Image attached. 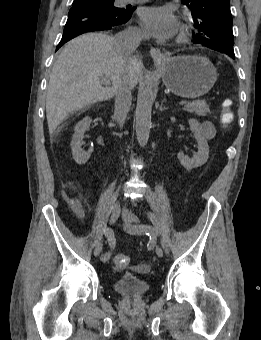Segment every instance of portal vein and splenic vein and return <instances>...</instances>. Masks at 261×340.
<instances>
[{
  "instance_id": "1",
  "label": "portal vein and splenic vein",
  "mask_w": 261,
  "mask_h": 340,
  "mask_svg": "<svg viewBox=\"0 0 261 340\" xmlns=\"http://www.w3.org/2000/svg\"><path fill=\"white\" fill-rule=\"evenodd\" d=\"M104 83H105L106 85H109V81H108V80H105ZM187 103H188V101L183 100V101H180V102H179V105H180V106H184V105H186Z\"/></svg>"
}]
</instances>
